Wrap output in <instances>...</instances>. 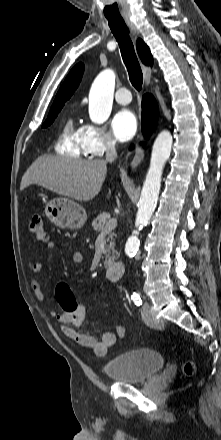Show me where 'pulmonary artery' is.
<instances>
[{"label":"pulmonary artery","mask_w":221,"mask_h":440,"mask_svg":"<svg viewBox=\"0 0 221 440\" xmlns=\"http://www.w3.org/2000/svg\"><path fill=\"white\" fill-rule=\"evenodd\" d=\"M131 94L125 87L118 89L115 93V100L122 105L129 104L131 102Z\"/></svg>","instance_id":"pulmonary-artery-1"}]
</instances>
